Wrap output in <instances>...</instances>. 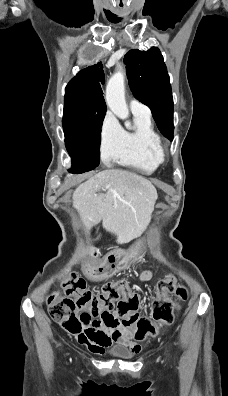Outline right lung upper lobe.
Here are the masks:
<instances>
[{"label": "right lung upper lobe", "instance_id": "cb5924a9", "mask_svg": "<svg viewBox=\"0 0 228 396\" xmlns=\"http://www.w3.org/2000/svg\"><path fill=\"white\" fill-rule=\"evenodd\" d=\"M104 82L103 65L98 62L81 70L71 79L65 89V100L86 112L106 110L100 86Z\"/></svg>", "mask_w": 228, "mask_h": 396}]
</instances>
